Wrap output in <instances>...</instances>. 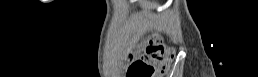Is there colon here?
<instances>
[{
	"label": "colon",
	"mask_w": 258,
	"mask_h": 77,
	"mask_svg": "<svg viewBox=\"0 0 258 77\" xmlns=\"http://www.w3.org/2000/svg\"><path fill=\"white\" fill-rule=\"evenodd\" d=\"M174 50L159 42L149 44L140 58L132 60L128 68V77H159L169 69Z\"/></svg>",
	"instance_id": "5ec220e1"
}]
</instances>
